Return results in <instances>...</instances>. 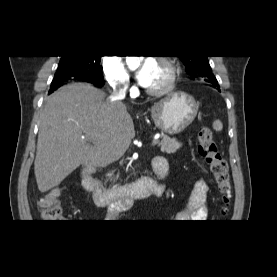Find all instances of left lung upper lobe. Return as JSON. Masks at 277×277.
Masks as SVG:
<instances>
[{"label":"left lung upper lobe","instance_id":"left-lung-upper-lobe-1","mask_svg":"<svg viewBox=\"0 0 277 277\" xmlns=\"http://www.w3.org/2000/svg\"><path fill=\"white\" fill-rule=\"evenodd\" d=\"M186 65L187 73L192 77H201L207 82L218 83L214 76L208 56H178Z\"/></svg>","mask_w":277,"mask_h":277}]
</instances>
